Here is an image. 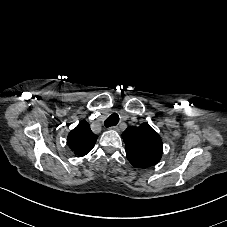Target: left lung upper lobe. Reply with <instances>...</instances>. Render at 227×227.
Segmentation results:
<instances>
[{
	"mask_svg": "<svg viewBox=\"0 0 227 227\" xmlns=\"http://www.w3.org/2000/svg\"><path fill=\"white\" fill-rule=\"evenodd\" d=\"M125 142L126 155L129 162L136 168H147L159 162L163 152V143L148 123L130 126L122 134Z\"/></svg>",
	"mask_w": 227,
	"mask_h": 227,
	"instance_id": "5c2ea615",
	"label": "left lung upper lobe"
}]
</instances>
